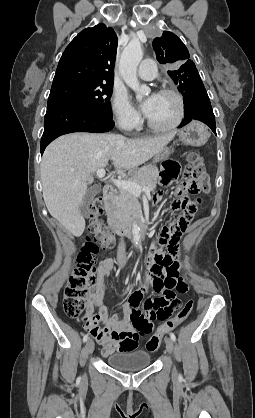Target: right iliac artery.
Returning <instances> with one entry per match:
<instances>
[{
	"mask_svg": "<svg viewBox=\"0 0 255 418\" xmlns=\"http://www.w3.org/2000/svg\"><path fill=\"white\" fill-rule=\"evenodd\" d=\"M88 340V334H85L83 337V342H86Z\"/></svg>",
	"mask_w": 255,
	"mask_h": 418,
	"instance_id": "obj_1",
	"label": "right iliac artery"
}]
</instances>
